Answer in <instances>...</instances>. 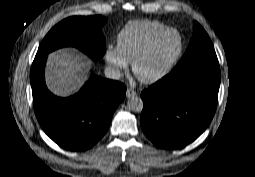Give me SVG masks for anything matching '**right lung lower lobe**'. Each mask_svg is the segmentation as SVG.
I'll list each match as a JSON object with an SVG mask.
<instances>
[{"mask_svg": "<svg viewBox=\"0 0 255 177\" xmlns=\"http://www.w3.org/2000/svg\"><path fill=\"white\" fill-rule=\"evenodd\" d=\"M47 55L35 57L30 73L34 110L44 132L63 148H91L106 133L112 115L125 98L124 84L90 77L74 96L58 98L44 81Z\"/></svg>", "mask_w": 255, "mask_h": 177, "instance_id": "right-lung-lower-lobe-1", "label": "right lung lower lobe"}]
</instances>
